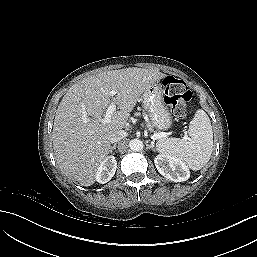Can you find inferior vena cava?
Returning <instances> with one entry per match:
<instances>
[{"mask_svg": "<svg viewBox=\"0 0 257 257\" xmlns=\"http://www.w3.org/2000/svg\"><path fill=\"white\" fill-rule=\"evenodd\" d=\"M125 137H126V132L123 130H119L114 134H112L110 138V142L116 144L118 141L122 140Z\"/></svg>", "mask_w": 257, "mask_h": 257, "instance_id": "602c4592", "label": "inferior vena cava"}]
</instances>
